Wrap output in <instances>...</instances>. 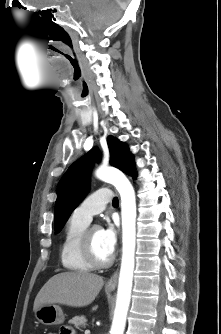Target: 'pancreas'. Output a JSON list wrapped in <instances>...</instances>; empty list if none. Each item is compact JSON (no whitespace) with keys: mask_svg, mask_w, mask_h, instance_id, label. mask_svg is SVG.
<instances>
[{"mask_svg":"<svg viewBox=\"0 0 221 334\" xmlns=\"http://www.w3.org/2000/svg\"><path fill=\"white\" fill-rule=\"evenodd\" d=\"M86 322L87 320L85 316H75L70 320V323L73 324L78 330H81L82 327H85Z\"/></svg>","mask_w":221,"mask_h":334,"instance_id":"1","label":"pancreas"}]
</instances>
